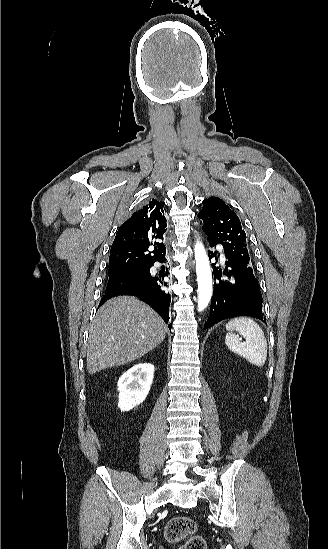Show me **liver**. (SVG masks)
<instances>
[{"label": "liver", "mask_w": 328, "mask_h": 549, "mask_svg": "<svg viewBox=\"0 0 328 549\" xmlns=\"http://www.w3.org/2000/svg\"><path fill=\"white\" fill-rule=\"evenodd\" d=\"M160 315L136 297L106 301L89 331L87 371L94 375L108 367H120L140 359L166 337Z\"/></svg>", "instance_id": "6515ba94"}]
</instances>
